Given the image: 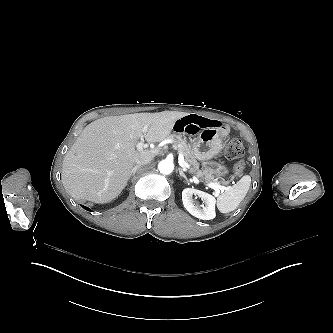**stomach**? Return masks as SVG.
Here are the masks:
<instances>
[{
  "label": "stomach",
  "instance_id": "stomach-1",
  "mask_svg": "<svg viewBox=\"0 0 333 333\" xmlns=\"http://www.w3.org/2000/svg\"><path fill=\"white\" fill-rule=\"evenodd\" d=\"M219 131V128L214 127L202 129L192 140V154L199 161L206 162L209 168L221 173V175H216V177L222 178L228 174V169L217 162L209 161L218 155L224 147Z\"/></svg>",
  "mask_w": 333,
  "mask_h": 333
}]
</instances>
